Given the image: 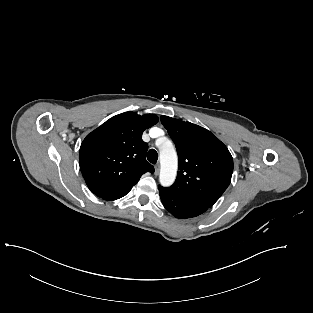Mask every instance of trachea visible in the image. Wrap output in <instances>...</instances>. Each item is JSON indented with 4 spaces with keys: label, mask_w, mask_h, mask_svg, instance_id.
Wrapping results in <instances>:
<instances>
[{
    "label": "trachea",
    "mask_w": 313,
    "mask_h": 313,
    "mask_svg": "<svg viewBox=\"0 0 313 313\" xmlns=\"http://www.w3.org/2000/svg\"><path fill=\"white\" fill-rule=\"evenodd\" d=\"M147 159L152 164H155L157 162V160H158V153H157V151L154 150V149H150L148 154H147Z\"/></svg>",
    "instance_id": "obj_1"
}]
</instances>
